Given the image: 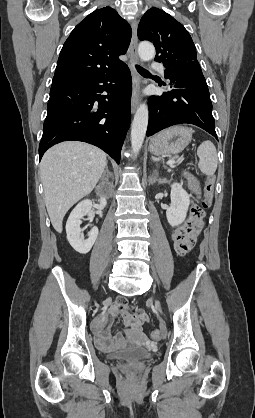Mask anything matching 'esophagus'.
<instances>
[{
	"label": "esophagus",
	"instance_id": "esophagus-1",
	"mask_svg": "<svg viewBox=\"0 0 255 418\" xmlns=\"http://www.w3.org/2000/svg\"><path fill=\"white\" fill-rule=\"evenodd\" d=\"M137 21L132 22V38L130 43V63L129 67L132 74V97H131V111L134 113L140 101V77L135 69V64L138 61L137 55Z\"/></svg>",
	"mask_w": 255,
	"mask_h": 418
}]
</instances>
